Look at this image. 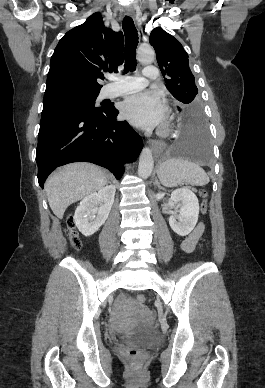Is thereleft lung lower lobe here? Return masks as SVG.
Listing matches in <instances>:
<instances>
[{"mask_svg": "<svg viewBox=\"0 0 265 388\" xmlns=\"http://www.w3.org/2000/svg\"><path fill=\"white\" fill-rule=\"evenodd\" d=\"M168 153L171 156L183 157L200 163L210 162L209 131L201 109L183 111L181 133L169 148Z\"/></svg>", "mask_w": 265, "mask_h": 388, "instance_id": "0a47b994", "label": "left lung lower lobe"}]
</instances>
